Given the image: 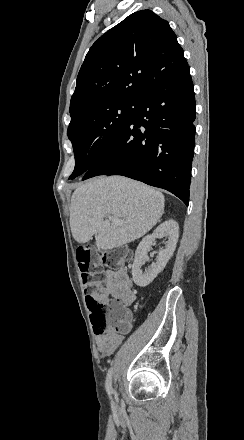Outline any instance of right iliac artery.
<instances>
[{
    "label": "right iliac artery",
    "mask_w": 244,
    "mask_h": 440,
    "mask_svg": "<svg viewBox=\"0 0 244 440\" xmlns=\"http://www.w3.org/2000/svg\"><path fill=\"white\" fill-rule=\"evenodd\" d=\"M112 373H113V368H110L108 370L107 373V377H106V384H105V388L106 391L109 395H111L113 393V388H112Z\"/></svg>",
    "instance_id": "82829eb1"
}]
</instances>
